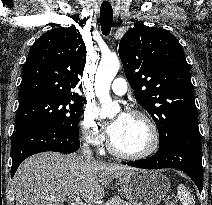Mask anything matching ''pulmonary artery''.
<instances>
[{"mask_svg":"<svg viewBox=\"0 0 212 205\" xmlns=\"http://www.w3.org/2000/svg\"><path fill=\"white\" fill-rule=\"evenodd\" d=\"M111 90L119 96L124 95L127 92V83L123 78H117L113 81Z\"/></svg>","mask_w":212,"mask_h":205,"instance_id":"1","label":"pulmonary artery"}]
</instances>
